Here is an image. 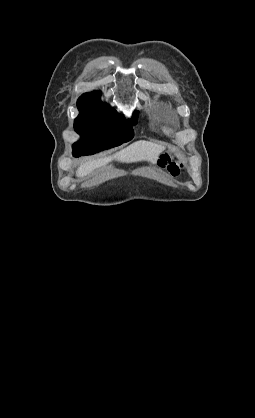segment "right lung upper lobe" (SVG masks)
Instances as JSON below:
<instances>
[{"label":"right lung upper lobe","mask_w":255,"mask_h":418,"mask_svg":"<svg viewBox=\"0 0 255 418\" xmlns=\"http://www.w3.org/2000/svg\"><path fill=\"white\" fill-rule=\"evenodd\" d=\"M93 94H99L98 92H92V93H85V94H83V95H93Z\"/></svg>","instance_id":"1"}]
</instances>
